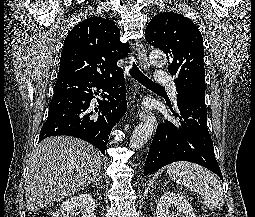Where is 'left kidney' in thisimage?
<instances>
[{"mask_svg": "<svg viewBox=\"0 0 255 217\" xmlns=\"http://www.w3.org/2000/svg\"><path fill=\"white\" fill-rule=\"evenodd\" d=\"M156 213V217H178L179 213H182L181 217H197L188 200L171 190L163 192L158 201Z\"/></svg>", "mask_w": 255, "mask_h": 217, "instance_id": "5707ae66", "label": "left kidney"}]
</instances>
